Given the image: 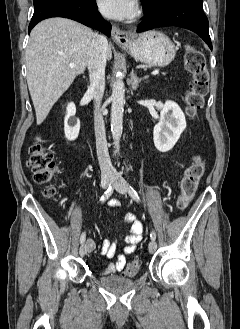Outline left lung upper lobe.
Here are the masks:
<instances>
[{
  "instance_id": "obj_1",
  "label": "left lung upper lobe",
  "mask_w": 240,
  "mask_h": 329,
  "mask_svg": "<svg viewBox=\"0 0 240 329\" xmlns=\"http://www.w3.org/2000/svg\"><path fill=\"white\" fill-rule=\"evenodd\" d=\"M143 2H146L147 4H153V3H159L164 0H141Z\"/></svg>"
}]
</instances>
